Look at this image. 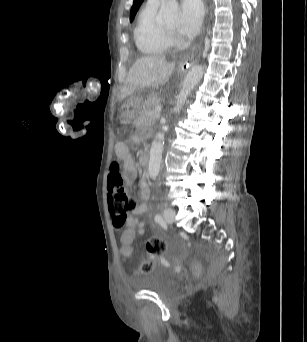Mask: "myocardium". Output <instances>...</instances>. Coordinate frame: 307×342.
<instances>
[{
  "label": "myocardium",
  "mask_w": 307,
  "mask_h": 342,
  "mask_svg": "<svg viewBox=\"0 0 307 342\" xmlns=\"http://www.w3.org/2000/svg\"><path fill=\"white\" fill-rule=\"evenodd\" d=\"M158 39L166 52L174 53L180 50V45L171 37L164 34L161 27H157Z\"/></svg>",
  "instance_id": "obj_1"
}]
</instances>
